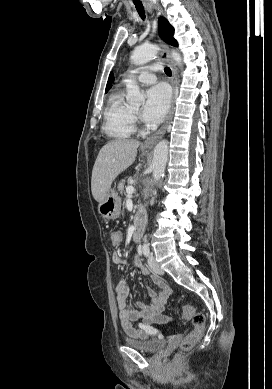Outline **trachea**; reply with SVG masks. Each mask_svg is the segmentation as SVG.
I'll return each instance as SVG.
<instances>
[{"mask_svg":"<svg viewBox=\"0 0 272 389\" xmlns=\"http://www.w3.org/2000/svg\"><path fill=\"white\" fill-rule=\"evenodd\" d=\"M135 8L139 14V16L141 17V19H145V11H144V7L142 4H135ZM165 73L167 76H171V69L166 67L165 68Z\"/></svg>","mask_w":272,"mask_h":389,"instance_id":"1","label":"trachea"}]
</instances>
